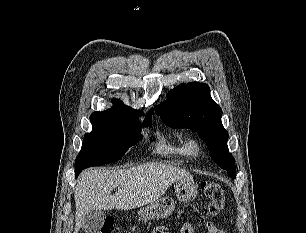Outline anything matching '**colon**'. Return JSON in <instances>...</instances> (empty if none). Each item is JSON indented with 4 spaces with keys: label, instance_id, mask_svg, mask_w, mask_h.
<instances>
[{
    "label": "colon",
    "instance_id": "5ec220e1",
    "mask_svg": "<svg viewBox=\"0 0 306 233\" xmlns=\"http://www.w3.org/2000/svg\"><path fill=\"white\" fill-rule=\"evenodd\" d=\"M201 189L208 200L204 213L207 217H215L224 208V191L219 183L210 180L204 181L201 185ZM115 230V220L113 218H108L95 233H114ZM153 233L159 232L155 230Z\"/></svg>",
    "mask_w": 306,
    "mask_h": 233
}]
</instances>
